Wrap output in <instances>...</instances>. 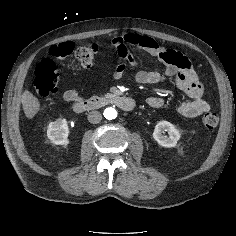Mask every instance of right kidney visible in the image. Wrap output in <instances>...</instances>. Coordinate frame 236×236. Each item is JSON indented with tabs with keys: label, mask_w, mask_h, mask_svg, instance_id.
<instances>
[{
	"label": "right kidney",
	"mask_w": 236,
	"mask_h": 236,
	"mask_svg": "<svg viewBox=\"0 0 236 236\" xmlns=\"http://www.w3.org/2000/svg\"><path fill=\"white\" fill-rule=\"evenodd\" d=\"M69 129L66 119L59 118L48 125L47 137L55 145L67 146Z\"/></svg>",
	"instance_id": "1"
}]
</instances>
